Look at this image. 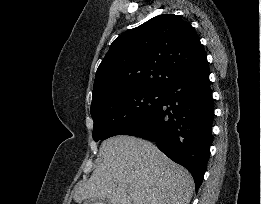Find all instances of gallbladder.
Wrapping results in <instances>:
<instances>
[{"label":"gallbladder","instance_id":"obj_1","mask_svg":"<svg viewBox=\"0 0 261 204\" xmlns=\"http://www.w3.org/2000/svg\"><path fill=\"white\" fill-rule=\"evenodd\" d=\"M83 204H110L108 199H94L90 198L85 200Z\"/></svg>","mask_w":261,"mask_h":204}]
</instances>
